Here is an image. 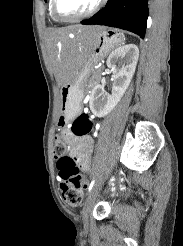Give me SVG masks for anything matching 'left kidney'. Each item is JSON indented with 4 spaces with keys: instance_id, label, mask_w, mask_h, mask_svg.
<instances>
[{
    "instance_id": "obj_1",
    "label": "left kidney",
    "mask_w": 183,
    "mask_h": 246,
    "mask_svg": "<svg viewBox=\"0 0 183 246\" xmlns=\"http://www.w3.org/2000/svg\"><path fill=\"white\" fill-rule=\"evenodd\" d=\"M138 57L139 49L135 44L120 46L110 53L106 64L113 73L112 94L107 93L100 84L93 88L89 106L95 116H106L121 100L135 72Z\"/></svg>"
}]
</instances>
